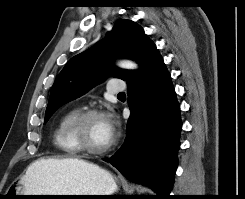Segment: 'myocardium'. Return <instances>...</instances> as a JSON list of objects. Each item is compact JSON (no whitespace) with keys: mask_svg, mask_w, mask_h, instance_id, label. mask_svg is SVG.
I'll return each mask as SVG.
<instances>
[{"mask_svg":"<svg viewBox=\"0 0 245 199\" xmlns=\"http://www.w3.org/2000/svg\"><path fill=\"white\" fill-rule=\"evenodd\" d=\"M94 116H104L106 117V113L97 108H90L83 111L78 112V114L73 118L69 126V133L73 138L75 146L81 152H85L91 155H101L109 152L115 145V140L112 138L111 142L102 148H93L86 144L82 138V133L84 129L85 123Z\"/></svg>","mask_w":245,"mask_h":199,"instance_id":"f54148a6","label":"myocardium"}]
</instances>
